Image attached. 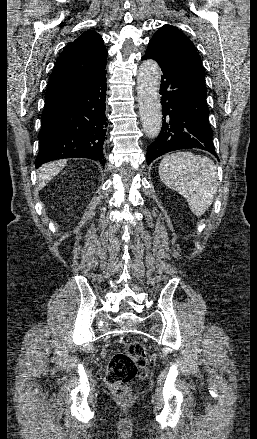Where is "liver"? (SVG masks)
<instances>
[{
    "mask_svg": "<svg viewBox=\"0 0 257 439\" xmlns=\"http://www.w3.org/2000/svg\"><path fill=\"white\" fill-rule=\"evenodd\" d=\"M66 165V161H56L46 164L40 168L38 174V189H42L55 175Z\"/></svg>",
    "mask_w": 257,
    "mask_h": 439,
    "instance_id": "1",
    "label": "liver"
}]
</instances>
